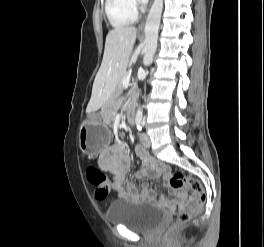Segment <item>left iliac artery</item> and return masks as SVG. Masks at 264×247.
Returning <instances> with one entry per match:
<instances>
[{"label":"left iliac artery","instance_id":"44dca946","mask_svg":"<svg viewBox=\"0 0 264 247\" xmlns=\"http://www.w3.org/2000/svg\"><path fill=\"white\" fill-rule=\"evenodd\" d=\"M143 121L141 119L136 120V126L139 131L142 130Z\"/></svg>","mask_w":264,"mask_h":247}]
</instances>
